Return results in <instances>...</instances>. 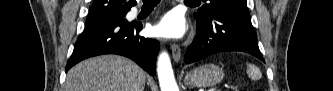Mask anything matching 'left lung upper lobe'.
Masks as SVG:
<instances>
[{
  "label": "left lung upper lobe",
  "instance_id": "left-lung-upper-lobe-1",
  "mask_svg": "<svg viewBox=\"0 0 333 91\" xmlns=\"http://www.w3.org/2000/svg\"><path fill=\"white\" fill-rule=\"evenodd\" d=\"M206 2V0L204 1ZM246 5V0H210L194 14L196 20L210 16L217 8L223 6Z\"/></svg>",
  "mask_w": 333,
  "mask_h": 91
}]
</instances>
